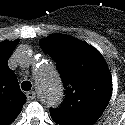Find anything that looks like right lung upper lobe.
<instances>
[{
    "instance_id": "obj_1",
    "label": "right lung upper lobe",
    "mask_w": 125,
    "mask_h": 125,
    "mask_svg": "<svg viewBox=\"0 0 125 125\" xmlns=\"http://www.w3.org/2000/svg\"><path fill=\"white\" fill-rule=\"evenodd\" d=\"M18 43L19 40L0 42V125L12 123L26 102L15 73L8 67V59Z\"/></svg>"
}]
</instances>
